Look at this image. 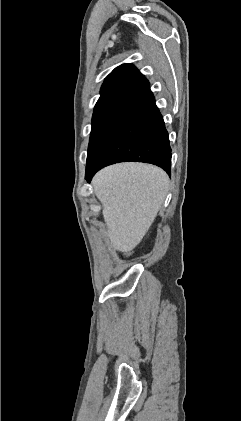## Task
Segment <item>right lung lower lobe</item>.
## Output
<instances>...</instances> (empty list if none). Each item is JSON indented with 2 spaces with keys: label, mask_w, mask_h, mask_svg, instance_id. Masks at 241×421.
I'll list each match as a JSON object with an SVG mask.
<instances>
[{
  "label": "right lung lower lobe",
  "mask_w": 241,
  "mask_h": 421,
  "mask_svg": "<svg viewBox=\"0 0 241 421\" xmlns=\"http://www.w3.org/2000/svg\"><path fill=\"white\" fill-rule=\"evenodd\" d=\"M128 161L151 163L170 174L168 132L150 89L133 102L127 117L100 158L93 167L86 169L85 178L90 182L101 168Z\"/></svg>",
  "instance_id": "98d812e1"
}]
</instances>
